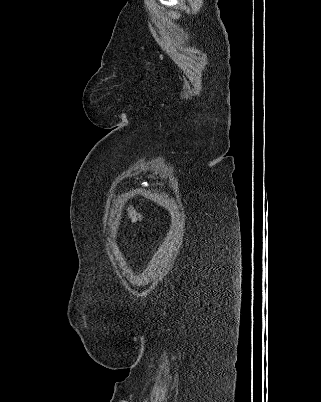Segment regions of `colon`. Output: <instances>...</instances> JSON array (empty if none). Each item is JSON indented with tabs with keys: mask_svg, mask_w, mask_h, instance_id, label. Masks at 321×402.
Returning <instances> with one entry per match:
<instances>
[{
	"mask_svg": "<svg viewBox=\"0 0 321 402\" xmlns=\"http://www.w3.org/2000/svg\"><path fill=\"white\" fill-rule=\"evenodd\" d=\"M127 211L132 220L140 221L143 219V215L131 205L127 207Z\"/></svg>",
	"mask_w": 321,
	"mask_h": 402,
	"instance_id": "5ec220e1",
	"label": "colon"
}]
</instances>
